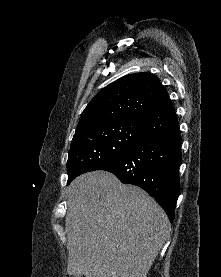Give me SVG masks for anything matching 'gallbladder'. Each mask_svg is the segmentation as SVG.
Segmentation results:
<instances>
[{"label": "gallbladder", "instance_id": "bac80fb5", "mask_svg": "<svg viewBox=\"0 0 221 277\" xmlns=\"http://www.w3.org/2000/svg\"><path fill=\"white\" fill-rule=\"evenodd\" d=\"M74 277H81V276H79V275H74Z\"/></svg>", "mask_w": 221, "mask_h": 277}]
</instances>
